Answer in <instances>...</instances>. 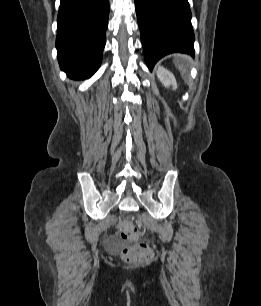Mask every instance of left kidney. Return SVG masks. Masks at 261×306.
I'll use <instances>...</instances> for the list:
<instances>
[{"mask_svg":"<svg viewBox=\"0 0 261 306\" xmlns=\"http://www.w3.org/2000/svg\"><path fill=\"white\" fill-rule=\"evenodd\" d=\"M157 77L165 87L168 88V87L172 86L173 89L177 88V83H176V79H175L174 75L170 71H168L167 69H165L163 67H158Z\"/></svg>","mask_w":261,"mask_h":306,"instance_id":"5707ae66","label":"left kidney"}]
</instances>
